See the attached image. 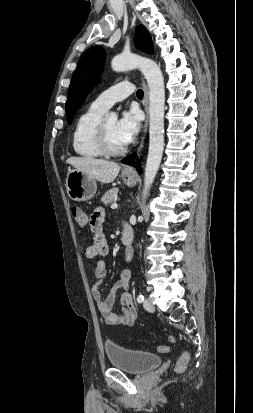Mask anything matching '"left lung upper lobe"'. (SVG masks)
Masks as SVG:
<instances>
[{
    "label": "left lung upper lobe",
    "instance_id": "left-lung-upper-lobe-1",
    "mask_svg": "<svg viewBox=\"0 0 253 413\" xmlns=\"http://www.w3.org/2000/svg\"><path fill=\"white\" fill-rule=\"evenodd\" d=\"M135 45L144 52L153 53L150 34L143 25L136 29ZM105 57V50L100 46L88 49L81 56L68 90L65 106L68 124L71 123L73 116L86 99L87 94L98 83Z\"/></svg>",
    "mask_w": 253,
    "mask_h": 413
}]
</instances>
